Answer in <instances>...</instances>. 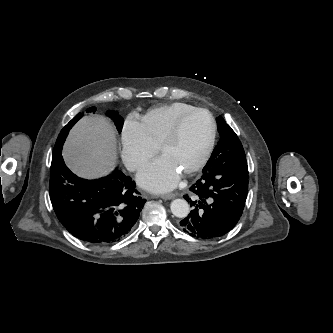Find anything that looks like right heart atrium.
I'll return each instance as SVG.
<instances>
[{
	"mask_svg": "<svg viewBox=\"0 0 333 333\" xmlns=\"http://www.w3.org/2000/svg\"><path fill=\"white\" fill-rule=\"evenodd\" d=\"M155 145L146 133L143 124L128 116L121 128V157L131 171L141 169L157 152Z\"/></svg>",
	"mask_w": 333,
	"mask_h": 333,
	"instance_id": "right-heart-atrium-1",
	"label": "right heart atrium"
}]
</instances>
